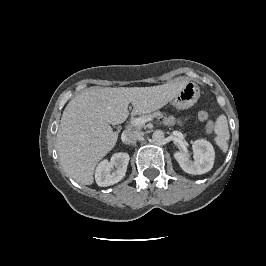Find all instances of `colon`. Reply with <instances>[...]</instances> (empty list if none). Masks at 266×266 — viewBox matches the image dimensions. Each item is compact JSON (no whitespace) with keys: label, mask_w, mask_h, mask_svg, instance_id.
<instances>
[{"label":"colon","mask_w":266,"mask_h":266,"mask_svg":"<svg viewBox=\"0 0 266 266\" xmlns=\"http://www.w3.org/2000/svg\"><path fill=\"white\" fill-rule=\"evenodd\" d=\"M197 116H198V119L200 121H206L208 119V113L205 112V111L198 112V115ZM213 127H214V125H213L212 122H208L207 125H206V129L209 132H211L213 130Z\"/></svg>","instance_id":"colon-1"}]
</instances>
